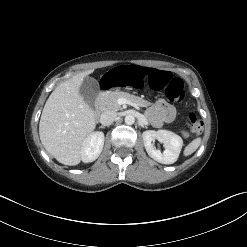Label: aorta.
I'll use <instances>...</instances> for the list:
<instances>
[{"instance_id": "762f6f07", "label": "aorta", "mask_w": 247, "mask_h": 247, "mask_svg": "<svg viewBox=\"0 0 247 247\" xmlns=\"http://www.w3.org/2000/svg\"><path fill=\"white\" fill-rule=\"evenodd\" d=\"M134 122H135V117L132 114L126 115V117H125V123L127 125H132V124H134Z\"/></svg>"}]
</instances>
